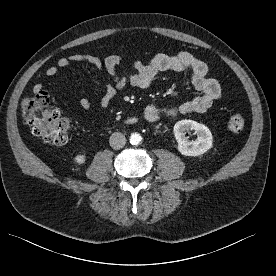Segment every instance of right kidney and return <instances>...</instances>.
Wrapping results in <instances>:
<instances>
[{
	"instance_id": "right-kidney-1",
	"label": "right kidney",
	"mask_w": 276,
	"mask_h": 276,
	"mask_svg": "<svg viewBox=\"0 0 276 276\" xmlns=\"http://www.w3.org/2000/svg\"><path fill=\"white\" fill-rule=\"evenodd\" d=\"M74 161L78 164V165H82L85 164L86 162V156L83 154H78L75 156Z\"/></svg>"
}]
</instances>
